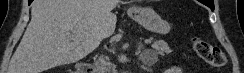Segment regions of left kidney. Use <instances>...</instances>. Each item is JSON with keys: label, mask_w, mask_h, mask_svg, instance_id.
I'll list each match as a JSON object with an SVG mask.
<instances>
[{"label": "left kidney", "mask_w": 244, "mask_h": 73, "mask_svg": "<svg viewBox=\"0 0 244 73\" xmlns=\"http://www.w3.org/2000/svg\"><path fill=\"white\" fill-rule=\"evenodd\" d=\"M167 73H182V69L179 67H171L167 70Z\"/></svg>", "instance_id": "5707ae66"}]
</instances>
